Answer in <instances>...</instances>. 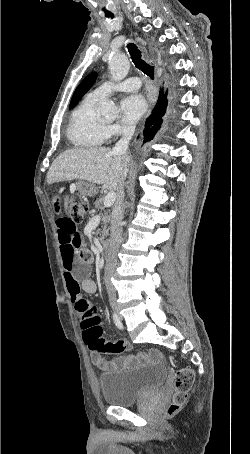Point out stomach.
Masks as SVG:
<instances>
[{"mask_svg":"<svg viewBox=\"0 0 250 454\" xmlns=\"http://www.w3.org/2000/svg\"><path fill=\"white\" fill-rule=\"evenodd\" d=\"M78 190L81 194L94 196L97 193V188L90 183L80 182L78 185Z\"/></svg>","mask_w":250,"mask_h":454,"instance_id":"stomach-1","label":"stomach"}]
</instances>
